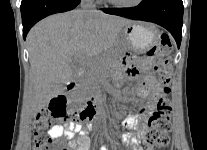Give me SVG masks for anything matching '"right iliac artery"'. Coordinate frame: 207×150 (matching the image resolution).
Listing matches in <instances>:
<instances>
[{"mask_svg":"<svg viewBox=\"0 0 207 150\" xmlns=\"http://www.w3.org/2000/svg\"><path fill=\"white\" fill-rule=\"evenodd\" d=\"M100 150H107V149H106V147L103 146Z\"/></svg>","mask_w":207,"mask_h":150,"instance_id":"1","label":"right iliac artery"}]
</instances>
